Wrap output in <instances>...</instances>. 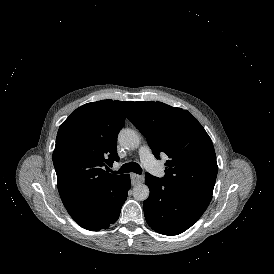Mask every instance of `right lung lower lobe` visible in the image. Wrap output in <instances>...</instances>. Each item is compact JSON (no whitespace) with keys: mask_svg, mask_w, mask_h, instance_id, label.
Returning <instances> with one entry per match:
<instances>
[{"mask_svg":"<svg viewBox=\"0 0 274 274\" xmlns=\"http://www.w3.org/2000/svg\"><path fill=\"white\" fill-rule=\"evenodd\" d=\"M130 186V176L126 174L117 184L105 190L91 208L71 215L72 218L87 230L99 231L108 228L118 219Z\"/></svg>","mask_w":274,"mask_h":274,"instance_id":"right-lung-lower-lobe-1","label":"right lung lower lobe"}]
</instances>
